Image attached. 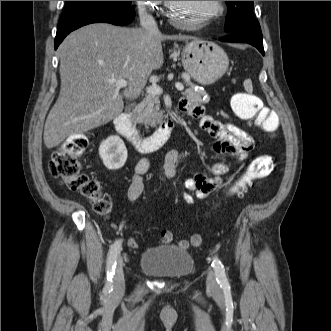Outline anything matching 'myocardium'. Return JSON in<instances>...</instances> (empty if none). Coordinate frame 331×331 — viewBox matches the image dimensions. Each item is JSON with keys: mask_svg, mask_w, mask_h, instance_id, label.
I'll return each mask as SVG.
<instances>
[{"mask_svg": "<svg viewBox=\"0 0 331 331\" xmlns=\"http://www.w3.org/2000/svg\"><path fill=\"white\" fill-rule=\"evenodd\" d=\"M217 3V8L216 10L208 15L207 17L201 19L199 22L193 23V24H187L185 22H182L178 19H176L173 15V8H174V2L173 1H166V17L168 18V20L175 26L178 27H200L203 26L217 18H219L220 16H222V14L224 13V1H216Z\"/></svg>", "mask_w": 331, "mask_h": 331, "instance_id": "myocardium-1", "label": "myocardium"}]
</instances>
